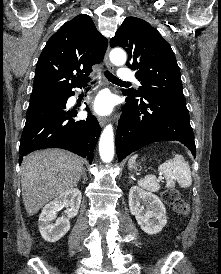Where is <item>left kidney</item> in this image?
I'll list each match as a JSON object with an SVG mask.
<instances>
[{"label":"left kidney","mask_w":221,"mask_h":274,"mask_svg":"<svg viewBox=\"0 0 221 274\" xmlns=\"http://www.w3.org/2000/svg\"><path fill=\"white\" fill-rule=\"evenodd\" d=\"M129 208L138 225L149 235L161 232L167 223L166 209L159 197L138 186L129 191Z\"/></svg>","instance_id":"5707ae66"}]
</instances>
